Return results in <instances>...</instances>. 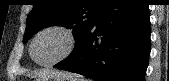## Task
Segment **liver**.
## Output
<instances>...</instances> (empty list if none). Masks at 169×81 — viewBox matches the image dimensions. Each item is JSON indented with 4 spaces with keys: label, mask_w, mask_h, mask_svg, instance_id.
Instances as JSON below:
<instances>
[{
    "label": "liver",
    "mask_w": 169,
    "mask_h": 81,
    "mask_svg": "<svg viewBox=\"0 0 169 81\" xmlns=\"http://www.w3.org/2000/svg\"><path fill=\"white\" fill-rule=\"evenodd\" d=\"M51 75H59V76H65V74L58 72V71H38V72H34L32 74L33 77L37 78V77H47V76H51Z\"/></svg>",
    "instance_id": "1"
}]
</instances>
